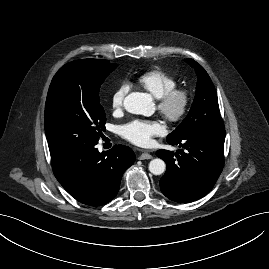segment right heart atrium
<instances>
[{"label": "right heart atrium", "mask_w": 269, "mask_h": 269, "mask_svg": "<svg viewBox=\"0 0 269 269\" xmlns=\"http://www.w3.org/2000/svg\"><path fill=\"white\" fill-rule=\"evenodd\" d=\"M129 91L127 83H121L110 96V107L113 111H119L122 109L125 97Z\"/></svg>", "instance_id": "1"}]
</instances>
